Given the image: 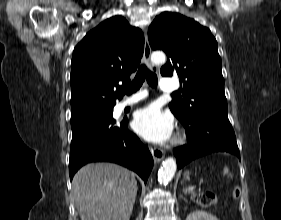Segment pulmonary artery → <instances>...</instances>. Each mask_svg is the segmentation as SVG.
<instances>
[{"label":"pulmonary artery","instance_id":"obj_1","mask_svg":"<svg viewBox=\"0 0 281 220\" xmlns=\"http://www.w3.org/2000/svg\"><path fill=\"white\" fill-rule=\"evenodd\" d=\"M160 88L162 91L165 92L174 91L179 88V83L174 79L164 77L160 80ZM145 96H146L145 92L138 93L133 97L129 98L128 100H126L122 106L125 107V106L136 104Z\"/></svg>","mask_w":281,"mask_h":220}]
</instances>
